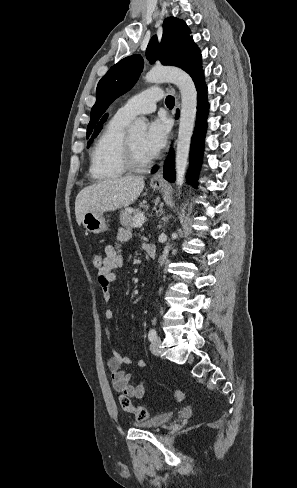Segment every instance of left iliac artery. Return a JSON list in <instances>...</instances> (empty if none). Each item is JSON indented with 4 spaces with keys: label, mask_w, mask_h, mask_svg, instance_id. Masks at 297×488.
Returning <instances> with one entry per match:
<instances>
[{
    "label": "left iliac artery",
    "mask_w": 297,
    "mask_h": 488,
    "mask_svg": "<svg viewBox=\"0 0 297 488\" xmlns=\"http://www.w3.org/2000/svg\"><path fill=\"white\" fill-rule=\"evenodd\" d=\"M157 337V332L155 329H151L148 334V338L150 341H153Z\"/></svg>",
    "instance_id": "left-iliac-artery-1"
}]
</instances>
